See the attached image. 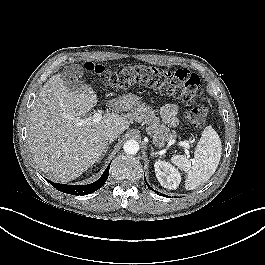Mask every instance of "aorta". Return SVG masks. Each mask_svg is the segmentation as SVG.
<instances>
[{
  "label": "aorta",
  "mask_w": 265,
  "mask_h": 265,
  "mask_svg": "<svg viewBox=\"0 0 265 265\" xmlns=\"http://www.w3.org/2000/svg\"><path fill=\"white\" fill-rule=\"evenodd\" d=\"M123 149L128 154H136L139 151V144L136 140H127L123 145Z\"/></svg>",
  "instance_id": "1"
}]
</instances>
